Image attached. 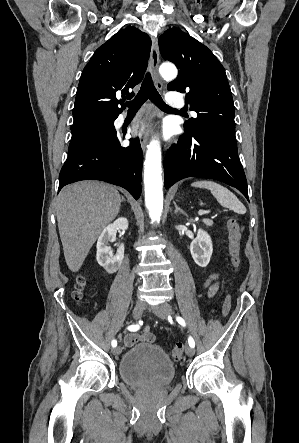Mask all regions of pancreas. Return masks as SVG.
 I'll list each match as a JSON object with an SVG mask.
<instances>
[{"label": "pancreas", "mask_w": 299, "mask_h": 443, "mask_svg": "<svg viewBox=\"0 0 299 443\" xmlns=\"http://www.w3.org/2000/svg\"><path fill=\"white\" fill-rule=\"evenodd\" d=\"M202 221H203V223H204L206 226H212V225H213V221L210 220V219H203Z\"/></svg>", "instance_id": "1"}]
</instances>
